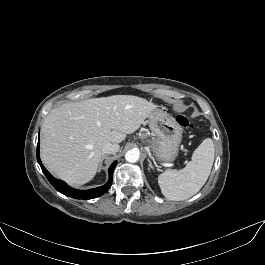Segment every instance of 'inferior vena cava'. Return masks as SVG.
<instances>
[{
  "label": "inferior vena cava",
  "mask_w": 265,
  "mask_h": 265,
  "mask_svg": "<svg viewBox=\"0 0 265 265\" xmlns=\"http://www.w3.org/2000/svg\"><path fill=\"white\" fill-rule=\"evenodd\" d=\"M119 151V145L113 143H105L102 147L103 154H115Z\"/></svg>",
  "instance_id": "inferior-vena-cava-1"
}]
</instances>
